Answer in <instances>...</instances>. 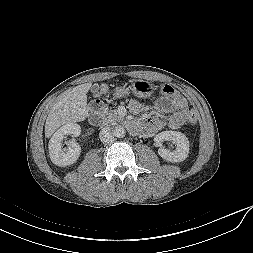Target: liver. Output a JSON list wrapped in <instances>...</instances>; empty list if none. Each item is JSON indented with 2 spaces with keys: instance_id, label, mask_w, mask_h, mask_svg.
I'll use <instances>...</instances> for the list:
<instances>
[{
  "instance_id": "obj_1",
  "label": "liver",
  "mask_w": 253,
  "mask_h": 253,
  "mask_svg": "<svg viewBox=\"0 0 253 253\" xmlns=\"http://www.w3.org/2000/svg\"><path fill=\"white\" fill-rule=\"evenodd\" d=\"M92 83L78 85L62 93L52 106L45 123L47 138L64 124L84 121L88 115L87 92Z\"/></svg>"
}]
</instances>
